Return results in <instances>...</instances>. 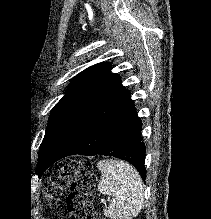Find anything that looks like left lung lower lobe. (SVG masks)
<instances>
[{
    "label": "left lung lower lobe",
    "instance_id": "1",
    "mask_svg": "<svg viewBox=\"0 0 211 219\" xmlns=\"http://www.w3.org/2000/svg\"><path fill=\"white\" fill-rule=\"evenodd\" d=\"M141 129L130 92L119 80L74 124L49 159L39 154V176L67 156L102 154L128 161L145 180L146 148Z\"/></svg>",
    "mask_w": 211,
    "mask_h": 219
}]
</instances>
